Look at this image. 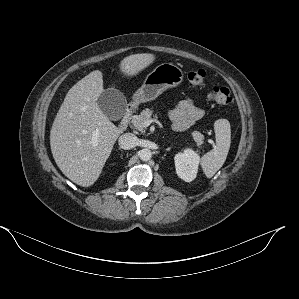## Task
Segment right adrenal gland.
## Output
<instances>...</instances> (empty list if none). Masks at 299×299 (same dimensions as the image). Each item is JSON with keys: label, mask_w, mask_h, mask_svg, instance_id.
Wrapping results in <instances>:
<instances>
[{"label": "right adrenal gland", "mask_w": 299, "mask_h": 299, "mask_svg": "<svg viewBox=\"0 0 299 299\" xmlns=\"http://www.w3.org/2000/svg\"><path fill=\"white\" fill-rule=\"evenodd\" d=\"M118 149H119L120 151H122L120 147H118Z\"/></svg>", "instance_id": "1"}]
</instances>
